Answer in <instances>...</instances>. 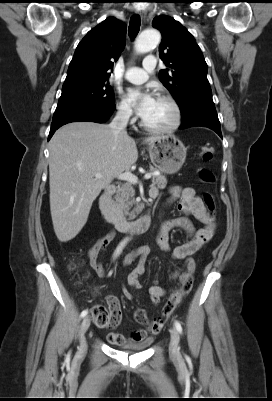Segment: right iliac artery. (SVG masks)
<instances>
[{
	"label": "right iliac artery",
	"mask_w": 272,
	"mask_h": 401,
	"mask_svg": "<svg viewBox=\"0 0 272 401\" xmlns=\"http://www.w3.org/2000/svg\"><path fill=\"white\" fill-rule=\"evenodd\" d=\"M125 243H126V240H124V241H122V242L120 243V245L118 246V248H117L116 251H115V256H117L118 254H120V252L122 251V248L124 247ZM87 314H88V310H83V311L81 312V317L83 318V317H85Z\"/></svg>",
	"instance_id": "82829eb1"
}]
</instances>
